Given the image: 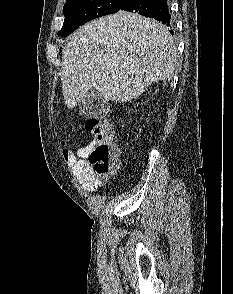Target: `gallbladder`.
<instances>
[{
	"instance_id": "obj_1",
	"label": "gallbladder",
	"mask_w": 233,
	"mask_h": 294,
	"mask_svg": "<svg viewBox=\"0 0 233 294\" xmlns=\"http://www.w3.org/2000/svg\"><path fill=\"white\" fill-rule=\"evenodd\" d=\"M106 105L107 102L100 97L95 88L90 89L79 104L80 111L87 118H99L105 111Z\"/></svg>"
}]
</instances>
